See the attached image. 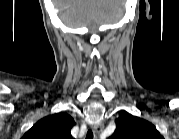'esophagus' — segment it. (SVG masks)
Segmentation results:
<instances>
[{"label":"esophagus","instance_id":"obj_1","mask_svg":"<svg viewBox=\"0 0 179 139\" xmlns=\"http://www.w3.org/2000/svg\"><path fill=\"white\" fill-rule=\"evenodd\" d=\"M104 126L102 123H99V124H94L92 126V130L94 132L95 135H99L100 132L103 130Z\"/></svg>","mask_w":179,"mask_h":139}]
</instances>
